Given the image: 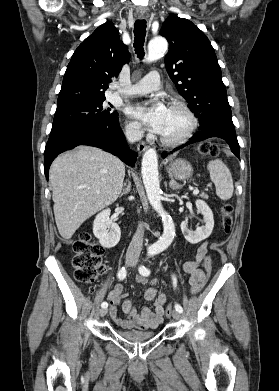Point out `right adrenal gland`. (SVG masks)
Instances as JSON below:
<instances>
[{"instance_id":"2a0ac1e0","label":"right adrenal gland","mask_w":279,"mask_h":391,"mask_svg":"<svg viewBox=\"0 0 279 391\" xmlns=\"http://www.w3.org/2000/svg\"><path fill=\"white\" fill-rule=\"evenodd\" d=\"M125 188L120 194V197L127 195L131 191V182L129 180H126L124 183Z\"/></svg>"}]
</instances>
